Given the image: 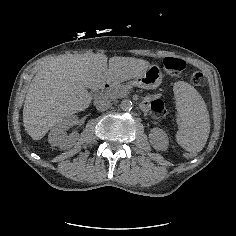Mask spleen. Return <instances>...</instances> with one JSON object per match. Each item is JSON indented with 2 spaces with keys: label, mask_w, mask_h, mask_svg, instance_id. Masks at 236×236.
<instances>
[{
  "label": "spleen",
  "mask_w": 236,
  "mask_h": 236,
  "mask_svg": "<svg viewBox=\"0 0 236 236\" xmlns=\"http://www.w3.org/2000/svg\"><path fill=\"white\" fill-rule=\"evenodd\" d=\"M175 97L176 109L181 118L176 141L189 152H200L210 133L207 106L200 93L187 83L176 84Z\"/></svg>",
  "instance_id": "1"
}]
</instances>
